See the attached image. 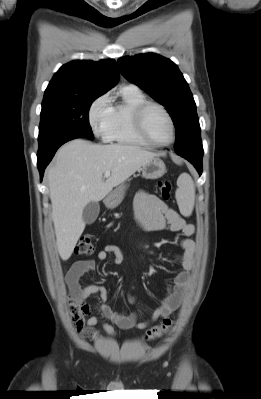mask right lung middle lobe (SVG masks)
Listing matches in <instances>:
<instances>
[{"label": "right lung middle lobe", "instance_id": "dd1d6c3e", "mask_svg": "<svg viewBox=\"0 0 261 399\" xmlns=\"http://www.w3.org/2000/svg\"><path fill=\"white\" fill-rule=\"evenodd\" d=\"M99 96L44 97L38 141L43 142L62 131H73L94 139L89 124V109Z\"/></svg>", "mask_w": 261, "mask_h": 399}]
</instances>
